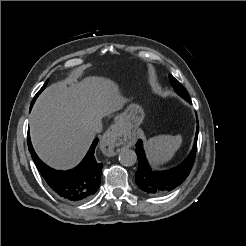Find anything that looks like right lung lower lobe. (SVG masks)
Segmentation results:
<instances>
[{"instance_id": "1", "label": "right lung lower lobe", "mask_w": 246, "mask_h": 246, "mask_svg": "<svg viewBox=\"0 0 246 246\" xmlns=\"http://www.w3.org/2000/svg\"><path fill=\"white\" fill-rule=\"evenodd\" d=\"M34 101L31 104L32 108ZM98 139H95L83 159L74 169L58 171L44 164L35 153L28 133V149L32 159L49 187L67 202L78 203L95 194L100 186L102 163L94 156Z\"/></svg>"}]
</instances>
